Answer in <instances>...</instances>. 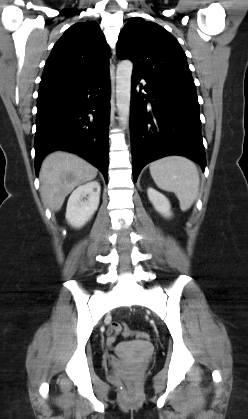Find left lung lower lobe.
I'll list each match as a JSON object with an SVG mask.
<instances>
[{
    "mask_svg": "<svg viewBox=\"0 0 248 419\" xmlns=\"http://www.w3.org/2000/svg\"><path fill=\"white\" fill-rule=\"evenodd\" d=\"M142 79L146 84L138 87ZM130 133L135 181L147 163L167 155L185 156L205 169L196 90L172 86L133 72Z\"/></svg>",
    "mask_w": 248,
    "mask_h": 419,
    "instance_id": "0a47b994",
    "label": "left lung lower lobe"
}]
</instances>
